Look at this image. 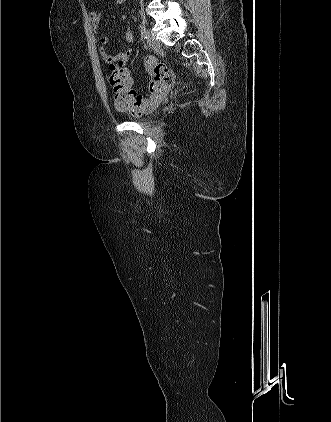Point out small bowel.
I'll return each mask as SVG.
<instances>
[{
  "mask_svg": "<svg viewBox=\"0 0 331 422\" xmlns=\"http://www.w3.org/2000/svg\"><path fill=\"white\" fill-rule=\"evenodd\" d=\"M125 1L126 0H116V4L121 5ZM101 16V13L95 11H91L88 14V19L93 27L94 33L98 36L99 52L102 60L108 64L122 63L123 65H126L133 53V47L129 45L123 52L118 54H111L106 48V44L109 42V37L100 35L99 23ZM121 19L125 21L127 16L122 15ZM124 39L128 44H131L134 41L133 32L131 30H127L124 34Z\"/></svg>",
  "mask_w": 331,
  "mask_h": 422,
  "instance_id": "small-bowel-1",
  "label": "small bowel"
}]
</instances>
